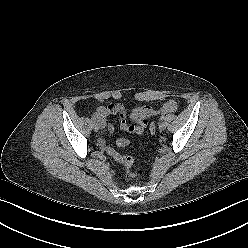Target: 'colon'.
Returning a JSON list of instances; mask_svg holds the SVG:
<instances>
[{
  "label": "colon",
  "instance_id": "colon-1",
  "mask_svg": "<svg viewBox=\"0 0 248 248\" xmlns=\"http://www.w3.org/2000/svg\"><path fill=\"white\" fill-rule=\"evenodd\" d=\"M149 131L154 134L156 132V124L154 122L150 123ZM129 144V141L125 138H119L117 140V145L120 147H125ZM107 153L118 163L123 165L125 170V175L129 180H140L144 177L145 172L142 169H133V158L128 155H122L117 150L112 147L107 148Z\"/></svg>",
  "mask_w": 248,
  "mask_h": 248
}]
</instances>
